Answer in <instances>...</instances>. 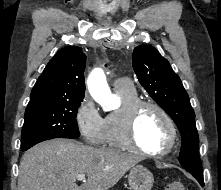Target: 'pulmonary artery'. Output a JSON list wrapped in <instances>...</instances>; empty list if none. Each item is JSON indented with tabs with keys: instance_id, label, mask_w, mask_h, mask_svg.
<instances>
[{
	"instance_id": "obj_1",
	"label": "pulmonary artery",
	"mask_w": 221,
	"mask_h": 190,
	"mask_svg": "<svg viewBox=\"0 0 221 190\" xmlns=\"http://www.w3.org/2000/svg\"><path fill=\"white\" fill-rule=\"evenodd\" d=\"M113 87L114 89H128L133 85L128 78H117L113 81Z\"/></svg>"
}]
</instances>
